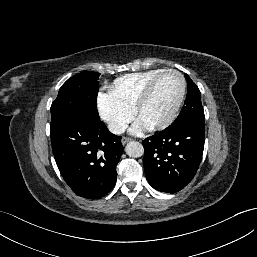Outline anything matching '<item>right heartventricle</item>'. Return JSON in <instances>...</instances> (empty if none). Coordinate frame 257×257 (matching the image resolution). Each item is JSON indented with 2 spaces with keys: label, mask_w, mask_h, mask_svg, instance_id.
<instances>
[{
  "label": "right heart ventricle",
  "mask_w": 257,
  "mask_h": 257,
  "mask_svg": "<svg viewBox=\"0 0 257 257\" xmlns=\"http://www.w3.org/2000/svg\"><path fill=\"white\" fill-rule=\"evenodd\" d=\"M162 70L164 69H151L121 76L110 85L108 96L113 101L133 110L144 88Z\"/></svg>",
  "instance_id": "right-heart-ventricle-1"
}]
</instances>
